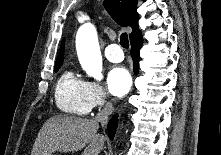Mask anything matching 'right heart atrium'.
I'll return each mask as SVG.
<instances>
[{
    "label": "right heart atrium",
    "instance_id": "d8ad5b80",
    "mask_svg": "<svg viewBox=\"0 0 221 155\" xmlns=\"http://www.w3.org/2000/svg\"><path fill=\"white\" fill-rule=\"evenodd\" d=\"M87 97L92 108L104 106L108 101V95L101 84L95 81H87Z\"/></svg>",
    "mask_w": 221,
    "mask_h": 155
}]
</instances>
